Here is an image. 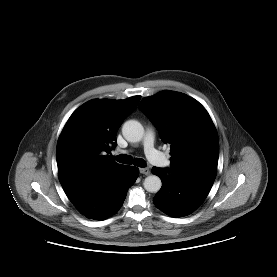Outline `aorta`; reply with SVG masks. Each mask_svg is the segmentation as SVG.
Segmentation results:
<instances>
[{"instance_id":"obj_1","label":"aorta","mask_w":277,"mask_h":277,"mask_svg":"<svg viewBox=\"0 0 277 277\" xmlns=\"http://www.w3.org/2000/svg\"><path fill=\"white\" fill-rule=\"evenodd\" d=\"M122 134L128 142H139L143 138L144 128L140 122L128 120L123 124ZM143 185L146 191L156 193L161 189L162 182L158 176L150 175L145 178Z\"/></svg>"}]
</instances>
